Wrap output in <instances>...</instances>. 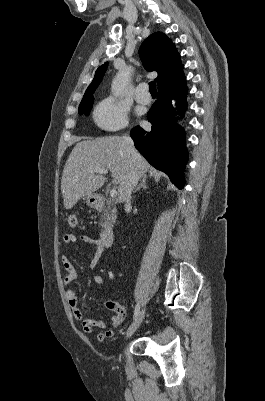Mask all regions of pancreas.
<instances>
[{"label":"pancreas","mask_w":265,"mask_h":401,"mask_svg":"<svg viewBox=\"0 0 265 401\" xmlns=\"http://www.w3.org/2000/svg\"><path fill=\"white\" fill-rule=\"evenodd\" d=\"M100 219L101 221H107L111 227L113 223H115L117 219L116 209H113L111 201H107V207H103V209H101Z\"/></svg>","instance_id":"obj_1"}]
</instances>
